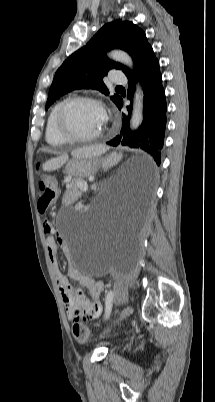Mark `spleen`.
Wrapping results in <instances>:
<instances>
[{
	"instance_id": "3e777b00",
	"label": "spleen",
	"mask_w": 215,
	"mask_h": 402,
	"mask_svg": "<svg viewBox=\"0 0 215 402\" xmlns=\"http://www.w3.org/2000/svg\"><path fill=\"white\" fill-rule=\"evenodd\" d=\"M107 150V147L103 146V145H99V146H92V147H88V148H83V149H79L77 151L73 152V155L75 156H91L93 154H100L103 153ZM68 160V156L67 155H63L60 159H53V160H49L48 162H46L44 164V169L45 170H51L54 169L58 166L59 163L63 164ZM105 165V164H103Z\"/></svg>"
}]
</instances>
